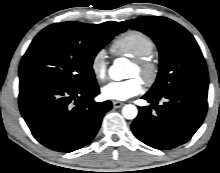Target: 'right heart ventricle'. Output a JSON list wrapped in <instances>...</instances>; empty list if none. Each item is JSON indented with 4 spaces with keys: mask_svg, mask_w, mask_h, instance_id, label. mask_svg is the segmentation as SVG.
<instances>
[{
    "mask_svg": "<svg viewBox=\"0 0 220 173\" xmlns=\"http://www.w3.org/2000/svg\"><path fill=\"white\" fill-rule=\"evenodd\" d=\"M154 50V41L145 33L136 30L123 33L111 45V51L115 55L132 59L148 57Z\"/></svg>",
    "mask_w": 220,
    "mask_h": 173,
    "instance_id": "e07e8e85",
    "label": "right heart ventricle"
}]
</instances>
